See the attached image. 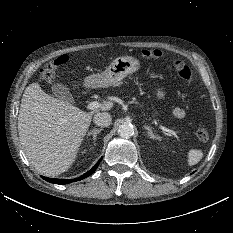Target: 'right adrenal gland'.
<instances>
[{
    "mask_svg": "<svg viewBox=\"0 0 233 233\" xmlns=\"http://www.w3.org/2000/svg\"><path fill=\"white\" fill-rule=\"evenodd\" d=\"M102 130H103L102 128H100V129L94 128L93 130L88 132V136L92 135L93 136V141L95 142L97 134H99Z\"/></svg>",
    "mask_w": 233,
    "mask_h": 233,
    "instance_id": "right-adrenal-gland-1",
    "label": "right adrenal gland"
}]
</instances>
